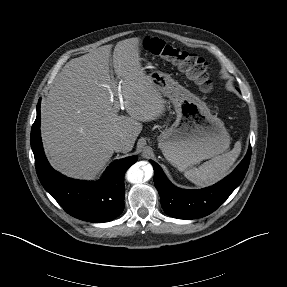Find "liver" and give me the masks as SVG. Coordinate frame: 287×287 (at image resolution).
<instances>
[{
  "mask_svg": "<svg viewBox=\"0 0 287 287\" xmlns=\"http://www.w3.org/2000/svg\"><path fill=\"white\" fill-rule=\"evenodd\" d=\"M139 41H119L113 52L129 116H119L113 100L118 87L110 76L111 45L70 60L58 74L41 107L43 146L54 169L71 178H95L114 153L112 139L124 138L121 152L131 151L141 122L164 112L159 90L142 69Z\"/></svg>",
  "mask_w": 287,
  "mask_h": 287,
  "instance_id": "liver-1",
  "label": "liver"
}]
</instances>
